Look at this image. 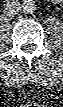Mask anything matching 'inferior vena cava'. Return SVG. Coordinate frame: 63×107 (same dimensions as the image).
Returning <instances> with one entry per match:
<instances>
[{
  "label": "inferior vena cava",
  "instance_id": "602c4592",
  "mask_svg": "<svg viewBox=\"0 0 63 107\" xmlns=\"http://www.w3.org/2000/svg\"><path fill=\"white\" fill-rule=\"evenodd\" d=\"M21 5L18 1H8L4 7V13L7 16L14 17L20 13Z\"/></svg>",
  "mask_w": 63,
  "mask_h": 107
}]
</instances>
